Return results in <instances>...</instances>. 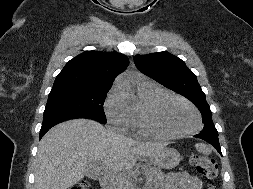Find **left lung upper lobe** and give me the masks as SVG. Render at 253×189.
I'll return each mask as SVG.
<instances>
[{
    "instance_id": "5c2ea615",
    "label": "left lung upper lobe",
    "mask_w": 253,
    "mask_h": 189,
    "mask_svg": "<svg viewBox=\"0 0 253 189\" xmlns=\"http://www.w3.org/2000/svg\"><path fill=\"white\" fill-rule=\"evenodd\" d=\"M134 62L143 74L183 95L201 111L205 122L201 132L218 134L205 94L198 84L197 77L188 69L184 61L164 51L136 55Z\"/></svg>"
}]
</instances>
